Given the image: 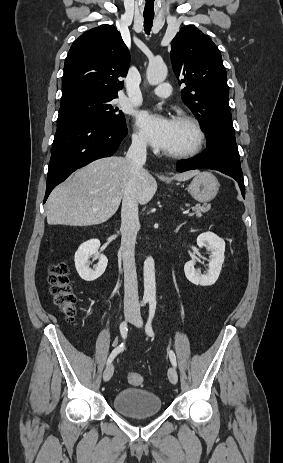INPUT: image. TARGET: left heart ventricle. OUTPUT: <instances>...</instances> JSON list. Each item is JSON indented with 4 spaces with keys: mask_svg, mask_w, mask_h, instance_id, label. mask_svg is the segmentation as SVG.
<instances>
[{
    "mask_svg": "<svg viewBox=\"0 0 283 463\" xmlns=\"http://www.w3.org/2000/svg\"><path fill=\"white\" fill-rule=\"evenodd\" d=\"M195 141V135L192 129L179 121H174V127L171 137V142L167 152H177L190 148Z\"/></svg>",
    "mask_w": 283,
    "mask_h": 463,
    "instance_id": "obj_1",
    "label": "left heart ventricle"
}]
</instances>
